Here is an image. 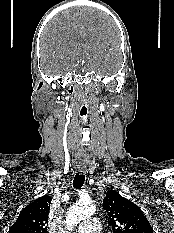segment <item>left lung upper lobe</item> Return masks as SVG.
Segmentation results:
<instances>
[{
  "label": "left lung upper lobe",
  "mask_w": 174,
  "mask_h": 233,
  "mask_svg": "<svg viewBox=\"0 0 174 233\" xmlns=\"http://www.w3.org/2000/svg\"><path fill=\"white\" fill-rule=\"evenodd\" d=\"M113 233H153L141 209L117 191L109 190L103 200Z\"/></svg>",
  "instance_id": "5c2ea615"
}]
</instances>
